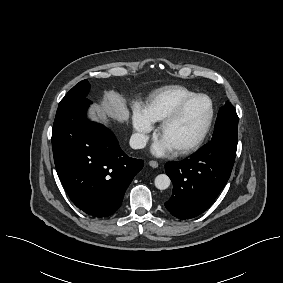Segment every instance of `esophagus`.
<instances>
[{"instance_id":"1","label":"esophagus","mask_w":283,"mask_h":283,"mask_svg":"<svg viewBox=\"0 0 283 283\" xmlns=\"http://www.w3.org/2000/svg\"><path fill=\"white\" fill-rule=\"evenodd\" d=\"M149 165L152 167V168H157L158 167V162L154 161V160H151L149 161Z\"/></svg>"}]
</instances>
